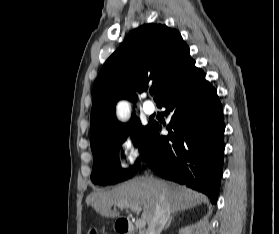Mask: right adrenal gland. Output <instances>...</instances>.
I'll return each mask as SVG.
<instances>
[{"label": "right adrenal gland", "instance_id": "right-adrenal-gland-1", "mask_svg": "<svg viewBox=\"0 0 279 234\" xmlns=\"http://www.w3.org/2000/svg\"><path fill=\"white\" fill-rule=\"evenodd\" d=\"M173 218H174V215H171L170 218H169V220H168V223H167V224L165 225V227H164V230H166V229L169 228V226L171 225V222H172Z\"/></svg>", "mask_w": 279, "mask_h": 234}]
</instances>
